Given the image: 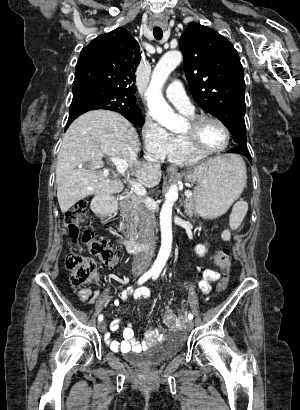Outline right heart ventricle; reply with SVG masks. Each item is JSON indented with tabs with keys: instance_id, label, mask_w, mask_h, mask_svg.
Segmentation results:
<instances>
[{
	"instance_id": "right-heart-ventricle-1",
	"label": "right heart ventricle",
	"mask_w": 300,
	"mask_h": 410,
	"mask_svg": "<svg viewBox=\"0 0 300 410\" xmlns=\"http://www.w3.org/2000/svg\"><path fill=\"white\" fill-rule=\"evenodd\" d=\"M165 158L172 163L193 165L204 157L191 151L181 134H171V146Z\"/></svg>"
}]
</instances>
